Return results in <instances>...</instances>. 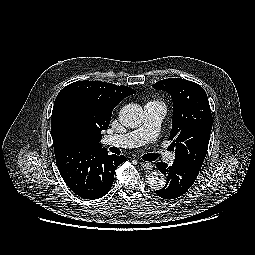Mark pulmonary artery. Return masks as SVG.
Listing matches in <instances>:
<instances>
[{"label": "pulmonary artery", "mask_w": 255, "mask_h": 255, "mask_svg": "<svg viewBox=\"0 0 255 255\" xmlns=\"http://www.w3.org/2000/svg\"><path fill=\"white\" fill-rule=\"evenodd\" d=\"M144 112V120L141 126L125 134L109 135L106 141L108 143L112 141L120 142L128 147H138L154 141L159 134L161 122L166 114V107L159 102H149L145 105ZM158 154L169 164L175 161L174 153L161 149Z\"/></svg>", "instance_id": "obj_1"}]
</instances>
